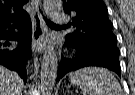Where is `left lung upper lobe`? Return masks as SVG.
Instances as JSON below:
<instances>
[{
	"label": "left lung upper lobe",
	"mask_w": 135,
	"mask_h": 95,
	"mask_svg": "<svg viewBox=\"0 0 135 95\" xmlns=\"http://www.w3.org/2000/svg\"><path fill=\"white\" fill-rule=\"evenodd\" d=\"M63 9L70 16H75L71 23L75 29L66 38L75 42L97 39L117 41L103 0H63Z\"/></svg>",
	"instance_id": "left-lung-upper-lobe-1"
}]
</instances>
